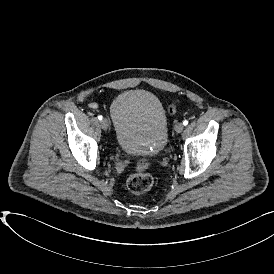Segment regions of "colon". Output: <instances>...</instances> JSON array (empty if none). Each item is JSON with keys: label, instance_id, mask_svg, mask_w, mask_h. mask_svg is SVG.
Instances as JSON below:
<instances>
[{"label": "colon", "instance_id": "5ec220e1", "mask_svg": "<svg viewBox=\"0 0 274 274\" xmlns=\"http://www.w3.org/2000/svg\"><path fill=\"white\" fill-rule=\"evenodd\" d=\"M179 101L173 100L168 105L167 111L173 115L177 111ZM153 162L148 159H139L134 163V170L128 175L126 185L135 194H142L149 191L154 185V177L149 173Z\"/></svg>", "mask_w": 274, "mask_h": 274}]
</instances>
